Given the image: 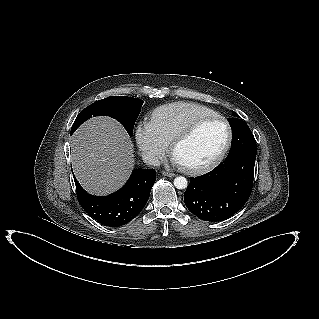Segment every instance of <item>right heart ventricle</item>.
Wrapping results in <instances>:
<instances>
[{
    "instance_id": "1",
    "label": "right heart ventricle",
    "mask_w": 319,
    "mask_h": 319,
    "mask_svg": "<svg viewBox=\"0 0 319 319\" xmlns=\"http://www.w3.org/2000/svg\"><path fill=\"white\" fill-rule=\"evenodd\" d=\"M215 113L212 109L192 102L177 101L153 109L149 122L168 143L193 119Z\"/></svg>"
}]
</instances>
